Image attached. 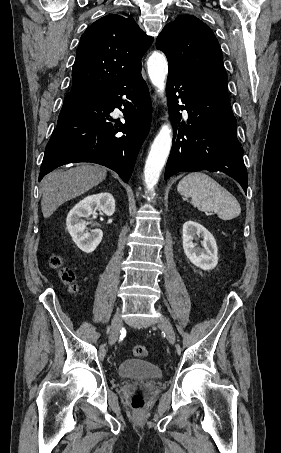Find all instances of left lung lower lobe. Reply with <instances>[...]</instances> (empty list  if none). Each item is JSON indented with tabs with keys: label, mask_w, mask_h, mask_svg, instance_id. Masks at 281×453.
Returning a JSON list of instances; mask_svg holds the SVG:
<instances>
[{
	"label": "left lung lower lobe",
	"mask_w": 281,
	"mask_h": 453,
	"mask_svg": "<svg viewBox=\"0 0 281 453\" xmlns=\"http://www.w3.org/2000/svg\"><path fill=\"white\" fill-rule=\"evenodd\" d=\"M166 92L174 136L165 180L180 171H221L247 194L248 175L227 82L190 79L169 69ZM184 109L189 125L181 121L179 110Z\"/></svg>",
	"instance_id": "obj_1"
}]
</instances>
